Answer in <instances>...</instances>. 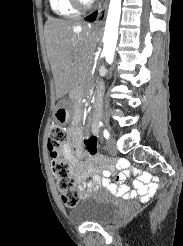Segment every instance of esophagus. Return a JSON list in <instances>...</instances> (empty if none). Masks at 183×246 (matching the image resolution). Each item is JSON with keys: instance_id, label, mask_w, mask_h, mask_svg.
Segmentation results:
<instances>
[{"instance_id": "1", "label": "esophagus", "mask_w": 183, "mask_h": 246, "mask_svg": "<svg viewBox=\"0 0 183 246\" xmlns=\"http://www.w3.org/2000/svg\"><path fill=\"white\" fill-rule=\"evenodd\" d=\"M108 2H109V0H104L99 5L98 14H97V17H96V20H95V25L96 26H100L104 22V19H105V16H106Z\"/></svg>"}]
</instances>
